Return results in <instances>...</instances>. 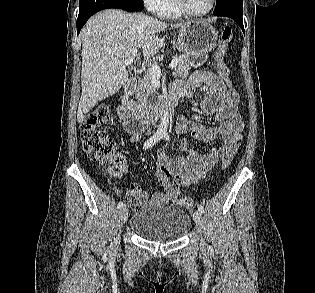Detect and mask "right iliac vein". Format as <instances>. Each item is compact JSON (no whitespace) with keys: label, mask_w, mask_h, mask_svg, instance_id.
<instances>
[{"label":"right iliac vein","mask_w":315,"mask_h":293,"mask_svg":"<svg viewBox=\"0 0 315 293\" xmlns=\"http://www.w3.org/2000/svg\"><path fill=\"white\" fill-rule=\"evenodd\" d=\"M127 219H128V210H127V208L123 207V208L120 209L119 214H118L119 229L127 221ZM119 238L120 237L118 236L117 241L114 244V249L118 245Z\"/></svg>","instance_id":"right-iliac-vein-1"}]
</instances>
